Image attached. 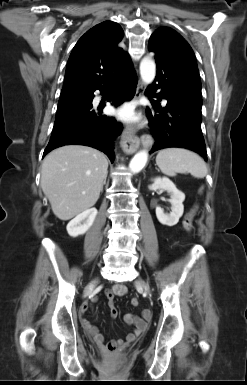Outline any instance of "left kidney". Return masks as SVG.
<instances>
[{
	"instance_id": "obj_1",
	"label": "left kidney",
	"mask_w": 247,
	"mask_h": 385,
	"mask_svg": "<svg viewBox=\"0 0 247 385\" xmlns=\"http://www.w3.org/2000/svg\"><path fill=\"white\" fill-rule=\"evenodd\" d=\"M149 189L153 191L162 189L171 195L169 199V202L171 203L170 214H165L162 208L156 207V216L163 225H176L184 212L183 201L185 200V194L178 190L175 184L166 177L153 179V184L149 186Z\"/></svg>"
}]
</instances>
